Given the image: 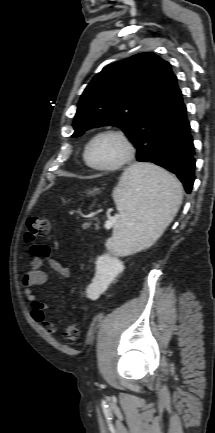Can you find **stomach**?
I'll use <instances>...</instances> for the list:
<instances>
[{
  "label": "stomach",
  "mask_w": 215,
  "mask_h": 433,
  "mask_svg": "<svg viewBox=\"0 0 215 433\" xmlns=\"http://www.w3.org/2000/svg\"><path fill=\"white\" fill-rule=\"evenodd\" d=\"M99 191H100V189L95 188V189H93V190H89V191L87 192V194H88V195H92V194L98 193Z\"/></svg>",
  "instance_id": "stomach-1"
}]
</instances>
